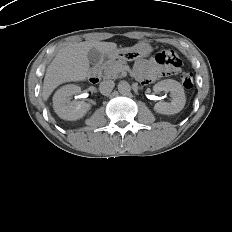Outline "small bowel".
Wrapping results in <instances>:
<instances>
[{
    "instance_id": "obj_1",
    "label": "small bowel",
    "mask_w": 232,
    "mask_h": 232,
    "mask_svg": "<svg viewBox=\"0 0 232 232\" xmlns=\"http://www.w3.org/2000/svg\"><path fill=\"white\" fill-rule=\"evenodd\" d=\"M135 76L140 79L141 83L150 81H167L175 80L179 77V70L176 68H167L164 66H156L152 60H139L134 68Z\"/></svg>"
}]
</instances>
